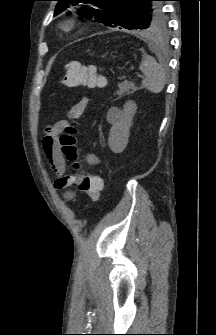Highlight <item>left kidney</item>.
Here are the masks:
<instances>
[{
  "mask_svg": "<svg viewBox=\"0 0 216 335\" xmlns=\"http://www.w3.org/2000/svg\"><path fill=\"white\" fill-rule=\"evenodd\" d=\"M136 110L137 105L134 101L126 102L119 120L112 125L108 145L113 153H121L126 148Z\"/></svg>",
  "mask_w": 216,
  "mask_h": 335,
  "instance_id": "obj_1",
  "label": "left kidney"
}]
</instances>
